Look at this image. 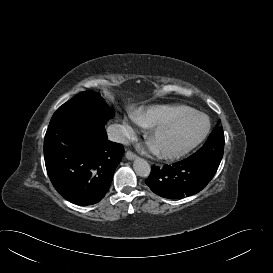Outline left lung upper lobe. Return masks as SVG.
Masks as SVG:
<instances>
[{
    "mask_svg": "<svg viewBox=\"0 0 273 273\" xmlns=\"http://www.w3.org/2000/svg\"><path fill=\"white\" fill-rule=\"evenodd\" d=\"M219 120L204 145L194 153L193 157H202L220 164L224 152V132Z\"/></svg>",
    "mask_w": 273,
    "mask_h": 273,
    "instance_id": "1",
    "label": "left lung upper lobe"
}]
</instances>
